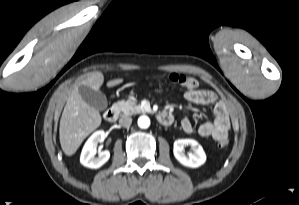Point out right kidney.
Instances as JSON below:
<instances>
[{"label":"right kidney","instance_id":"1","mask_svg":"<svg viewBox=\"0 0 299 205\" xmlns=\"http://www.w3.org/2000/svg\"><path fill=\"white\" fill-rule=\"evenodd\" d=\"M105 139V132L98 130L94 132L86 141L80 156V163L88 168L97 169L105 164L110 158V152L100 151L96 157V147L98 143L103 142Z\"/></svg>","mask_w":299,"mask_h":205}]
</instances>
